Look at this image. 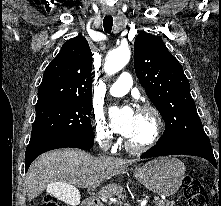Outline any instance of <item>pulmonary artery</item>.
I'll return each mask as SVG.
<instances>
[{
  "instance_id": "1",
  "label": "pulmonary artery",
  "mask_w": 221,
  "mask_h": 206,
  "mask_svg": "<svg viewBox=\"0 0 221 206\" xmlns=\"http://www.w3.org/2000/svg\"><path fill=\"white\" fill-rule=\"evenodd\" d=\"M133 85L132 76L128 72L120 74L118 80L110 87L109 94L114 97H120L128 93Z\"/></svg>"
}]
</instances>
